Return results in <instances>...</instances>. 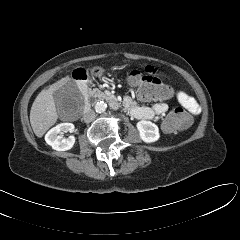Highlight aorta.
<instances>
[{
  "label": "aorta",
  "instance_id": "obj_1",
  "mask_svg": "<svg viewBox=\"0 0 240 240\" xmlns=\"http://www.w3.org/2000/svg\"><path fill=\"white\" fill-rule=\"evenodd\" d=\"M94 108L97 113H103L106 111L107 104L104 101H99L95 104Z\"/></svg>",
  "mask_w": 240,
  "mask_h": 240
}]
</instances>
